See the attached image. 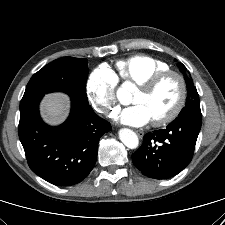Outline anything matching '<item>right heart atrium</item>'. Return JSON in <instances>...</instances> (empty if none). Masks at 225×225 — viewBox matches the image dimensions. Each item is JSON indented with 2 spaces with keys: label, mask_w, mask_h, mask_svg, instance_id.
Here are the masks:
<instances>
[{
  "label": "right heart atrium",
  "mask_w": 225,
  "mask_h": 225,
  "mask_svg": "<svg viewBox=\"0 0 225 225\" xmlns=\"http://www.w3.org/2000/svg\"><path fill=\"white\" fill-rule=\"evenodd\" d=\"M117 77L106 66H100L89 76L86 91L92 107L110 115L116 102Z\"/></svg>",
  "instance_id": "d8ad5b80"
}]
</instances>
